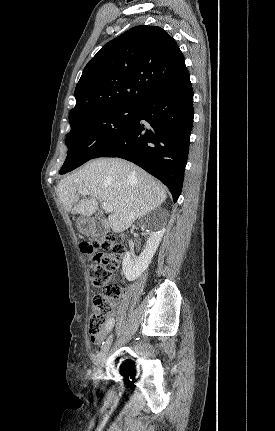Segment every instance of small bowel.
<instances>
[{
    "label": "small bowel",
    "mask_w": 275,
    "mask_h": 431,
    "mask_svg": "<svg viewBox=\"0 0 275 431\" xmlns=\"http://www.w3.org/2000/svg\"><path fill=\"white\" fill-rule=\"evenodd\" d=\"M107 330V329H106ZM104 336H105V332H102L99 336H97V337H91V341H92V343H94V344H99V343H101V341L103 340V338H104Z\"/></svg>",
    "instance_id": "c3829d8e"
}]
</instances>
